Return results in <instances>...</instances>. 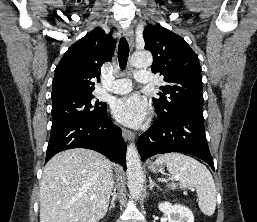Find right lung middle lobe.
<instances>
[{"label": "right lung middle lobe", "mask_w": 257, "mask_h": 222, "mask_svg": "<svg viewBox=\"0 0 257 222\" xmlns=\"http://www.w3.org/2000/svg\"><path fill=\"white\" fill-rule=\"evenodd\" d=\"M106 104L94 101L93 95L52 101V127L72 120L94 121L106 113Z\"/></svg>", "instance_id": "dd1d6c3e"}]
</instances>
